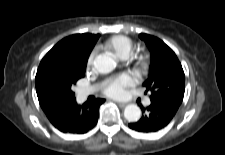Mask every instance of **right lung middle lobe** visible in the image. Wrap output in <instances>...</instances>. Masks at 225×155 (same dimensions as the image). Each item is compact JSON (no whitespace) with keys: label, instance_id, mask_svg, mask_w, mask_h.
I'll return each instance as SVG.
<instances>
[{"label":"right lung middle lobe","instance_id":"right-lung-middle-lobe-1","mask_svg":"<svg viewBox=\"0 0 225 155\" xmlns=\"http://www.w3.org/2000/svg\"><path fill=\"white\" fill-rule=\"evenodd\" d=\"M86 65H75L67 69H57L51 73L53 85L65 96L67 100L75 99L71 87L77 80L85 76Z\"/></svg>","mask_w":225,"mask_h":155}]
</instances>
